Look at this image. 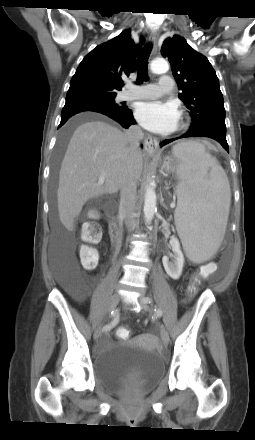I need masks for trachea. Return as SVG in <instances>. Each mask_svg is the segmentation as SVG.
<instances>
[{
	"label": "trachea",
	"mask_w": 255,
	"mask_h": 440,
	"mask_svg": "<svg viewBox=\"0 0 255 440\" xmlns=\"http://www.w3.org/2000/svg\"><path fill=\"white\" fill-rule=\"evenodd\" d=\"M152 45L148 43L137 59V72L138 78L137 83H142L148 79L147 69H148V58L151 51Z\"/></svg>",
	"instance_id": "obj_1"
}]
</instances>
